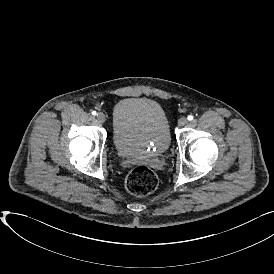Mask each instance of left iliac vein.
Segmentation results:
<instances>
[{
	"label": "left iliac vein",
	"instance_id": "left-iliac-vein-1",
	"mask_svg": "<svg viewBox=\"0 0 274 274\" xmlns=\"http://www.w3.org/2000/svg\"><path fill=\"white\" fill-rule=\"evenodd\" d=\"M187 124H188V119L186 117H181L178 120V125L181 127L186 126Z\"/></svg>",
	"mask_w": 274,
	"mask_h": 274
}]
</instances>
